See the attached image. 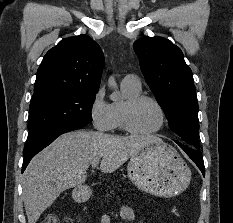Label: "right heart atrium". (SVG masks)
Returning a JSON list of instances; mask_svg holds the SVG:
<instances>
[{"instance_id": "1", "label": "right heart atrium", "mask_w": 233, "mask_h": 223, "mask_svg": "<svg viewBox=\"0 0 233 223\" xmlns=\"http://www.w3.org/2000/svg\"><path fill=\"white\" fill-rule=\"evenodd\" d=\"M89 116L96 129L100 131L113 129L112 106L105 100L104 89H100L94 96L89 107Z\"/></svg>"}]
</instances>
